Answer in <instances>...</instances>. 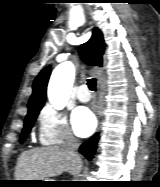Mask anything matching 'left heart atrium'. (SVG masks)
<instances>
[{"mask_svg": "<svg viewBox=\"0 0 160 187\" xmlns=\"http://www.w3.org/2000/svg\"><path fill=\"white\" fill-rule=\"evenodd\" d=\"M72 124L75 132L81 137L91 135L96 127L95 118L86 107H78L73 112Z\"/></svg>", "mask_w": 160, "mask_h": 187, "instance_id": "39dd6f15", "label": "left heart atrium"}]
</instances>
